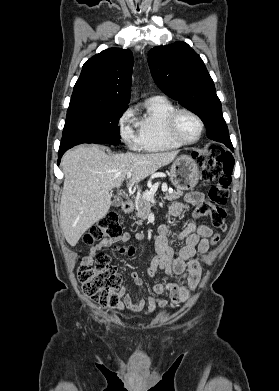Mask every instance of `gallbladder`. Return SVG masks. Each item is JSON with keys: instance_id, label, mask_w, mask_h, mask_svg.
I'll return each mask as SVG.
<instances>
[{"instance_id": "gallbladder-1", "label": "gallbladder", "mask_w": 279, "mask_h": 391, "mask_svg": "<svg viewBox=\"0 0 279 391\" xmlns=\"http://www.w3.org/2000/svg\"><path fill=\"white\" fill-rule=\"evenodd\" d=\"M122 204V200L119 199V198H115L113 201H112V205L113 206H120Z\"/></svg>"}]
</instances>
